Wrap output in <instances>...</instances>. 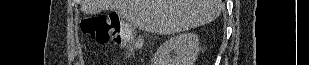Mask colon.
I'll return each instance as SVG.
<instances>
[{"label": "colon", "instance_id": "1", "mask_svg": "<svg viewBox=\"0 0 309 65\" xmlns=\"http://www.w3.org/2000/svg\"><path fill=\"white\" fill-rule=\"evenodd\" d=\"M83 35L98 44L114 43L120 48L133 53L139 49L140 43L125 24H119L112 15H94L84 17L80 22Z\"/></svg>", "mask_w": 309, "mask_h": 65}]
</instances>
